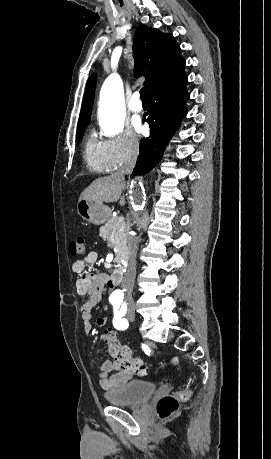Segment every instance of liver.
<instances>
[{"instance_id": "obj_1", "label": "liver", "mask_w": 271, "mask_h": 459, "mask_svg": "<svg viewBox=\"0 0 271 459\" xmlns=\"http://www.w3.org/2000/svg\"><path fill=\"white\" fill-rule=\"evenodd\" d=\"M126 186L125 178L120 172H114L111 176H104L94 180L84 192H82L79 202L81 200H88V202H118L121 194ZM121 206H124V198H121Z\"/></svg>"}]
</instances>
